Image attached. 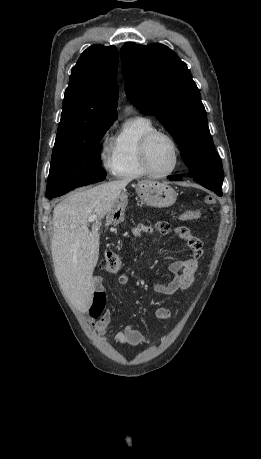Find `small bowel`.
I'll return each instance as SVG.
<instances>
[{
    "label": "small bowel",
    "instance_id": "c3829d8e",
    "mask_svg": "<svg viewBox=\"0 0 261 459\" xmlns=\"http://www.w3.org/2000/svg\"><path fill=\"white\" fill-rule=\"evenodd\" d=\"M136 230L142 232H151L150 227L146 225H139ZM166 234H171L183 239L193 251V257L184 260H174L169 265V271L173 278L168 283H156L155 291L161 295H173L179 291H184L190 288L194 282L196 272L198 270V258L203 253L202 243L199 238L191 234L186 227H175L169 229ZM129 282V277L125 274L118 277L120 285H126ZM95 294H102L105 296L103 282L100 278L95 279ZM155 316L162 320H168L171 317V312L164 306H157L155 308ZM110 311H104L97 321L92 322L91 325L95 331L100 335H105L107 328L111 323ZM115 341L119 344L129 343L133 346L148 345L150 342L136 329L130 325H125L123 329L118 331L115 335Z\"/></svg>",
    "mask_w": 261,
    "mask_h": 459
}]
</instances>
